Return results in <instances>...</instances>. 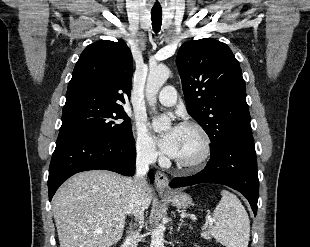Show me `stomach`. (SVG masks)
I'll list each match as a JSON object with an SVG mask.
<instances>
[{
  "label": "stomach",
  "mask_w": 310,
  "mask_h": 247,
  "mask_svg": "<svg viewBox=\"0 0 310 247\" xmlns=\"http://www.w3.org/2000/svg\"><path fill=\"white\" fill-rule=\"evenodd\" d=\"M168 199L177 208L186 209L192 204V198L186 193L173 194L169 196Z\"/></svg>",
  "instance_id": "1"
}]
</instances>
